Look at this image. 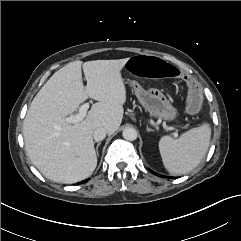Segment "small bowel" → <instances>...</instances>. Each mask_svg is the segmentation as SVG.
<instances>
[{
	"label": "small bowel",
	"instance_id": "obj_1",
	"mask_svg": "<svg viewBox=\"0 0 241 241\" xmlns=\"http://www.w3.org/2000/svg\"><path fill=\"white\" fill-rule=\"evenodd\" d=\"M138 56V55H137ZM149 56H155V55H149ZM156 57H159V56H156ZM161 58V57H160Z\"/></svg>",
	"mask_w": 241,
	"mask_h": 241
}]
</instances>
